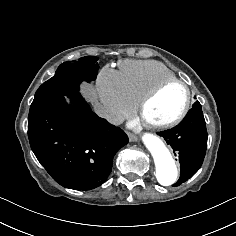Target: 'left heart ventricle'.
<instances>
[{
    "mask_svg": "<svg viewBox=\"0 0 236 236\" xmlns=\"http://www.w3.org/2000/svg\"><path fill=\"white\" fill-rule=\"evenodd\" d=\"M185 101L184 87L179 84L169 85L148 104L140 115L141 119L154 124L166 123L181 112Z\"/></svg>",
    "mask_w": 236,
    "mask_h": 236,
    "instance_id": "left-heart-ventricle-1",
    "label": "left heart ventricle"
}]
</instances>
